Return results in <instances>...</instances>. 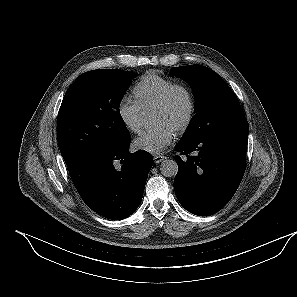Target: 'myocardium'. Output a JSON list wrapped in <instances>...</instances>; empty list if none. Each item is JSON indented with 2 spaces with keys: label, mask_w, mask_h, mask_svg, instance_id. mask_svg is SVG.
I'll return each mask as SVG.
<instances>
[{
  "label": "myocardium",
  "mask_w": 297,
  "mask_h": 297,
  "mask_svg": "<svg viewBox=\"0 0 297 297\" xmlns=\"http://www.w3.org/2000/svg\"><path fill=\"white\" fill-rule=\"evenodd\" d=\"M177 93H182L186 99V111L180 122L176 127V131L181 133L186 131L191 125L195 112L196 102L192 90L185 84L175 83L162 96V98L155 104V109L166 110L169 109L173 103L174 97Z\"/></svg>",
  "instance_id": "f54148a6"
}]
</instances>
